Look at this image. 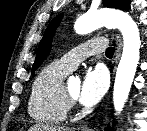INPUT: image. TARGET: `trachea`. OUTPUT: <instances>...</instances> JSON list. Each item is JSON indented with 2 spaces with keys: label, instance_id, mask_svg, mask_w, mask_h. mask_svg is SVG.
Instances as JSON below:
<instances>
[{
  "label": "trachea",
  "instance_id": "1",
  "mask_svg": "<svg viewBox=\"0 0 147 131\" xmlns=\"http://www.w3.org/2000/svg\"><path fill=\"white\" fill-rule=\"evenodd\" d=\"M114 52H115V48L109 47V48H107V50H106V56H107V57H112L113 54H114Z\"/></svg>",
  "mask_w": 147,
  "mask_h": 131
}]
</instances>
